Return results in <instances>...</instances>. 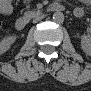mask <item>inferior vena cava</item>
Masks as SVG:
<instances>
[{"instance_id": "inferior-vena-cava-1", "label": "inferior vena cava", "mask_w": 91, "mask_h": 91, "mask_svg": "<svg viewBox=\"0 0 91 91\" xmlns=\"http://www.w3.org/2000/svg\"><path fill=\"white\" fill-rule=\"evenodd\" d=\"M42 18H44L43 15L37 16V17L33 20V22L36 23V22H38L39 20H41Z\"/></svg>"}]
</instances>
